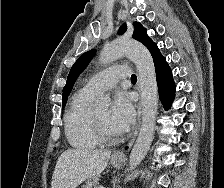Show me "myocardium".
Instances as JSON below:
<instances>
[{"label":"myocardium","mask_w":224,"mask_h":188,"mask_svg":"<svg viewBox=\"0 0 224 188\" xmlns=\"http://www.w3.org/2000/svg\"><path fill=\"white\" fill-rule=\"evenodd\" d=\"M91 126H92V130H93V133H94L95 137L97 138V140L100 143L113 144V143L118 142L119 139H120L119 135H113L112 136V135H109L105 132L102 125L98 121L95 113H92V115H91Z\"/></svg>","instance_id":"f54148a6"}]
</instances>
